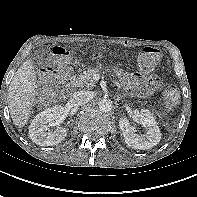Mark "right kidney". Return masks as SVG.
I'll list each match as a JSON object with an SVG mask.
<instances>
[{
    "label": "right kidney",
    "mask_w": 197,
    "mask_h": 197,
    "mask_svg": "<svg viewBox=\"0 0 197 197\" xmlns=\"http://www.w3.org/2000/svg\"><path fill=\"white\" fill-rule=\"evenodd\" d=\"M63 112V107L53 106L36 115L29 126L30 139L40 146H53L64 140L67 135L65 128L49 129L52 123L62 120Z\"/></svg>",
    "instance_id": "right-kidney-1"
}]
</instances>
